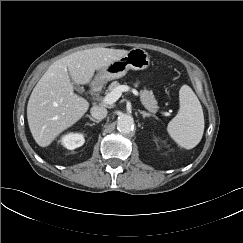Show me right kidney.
Listing matches in <instances>:
<instances>
[{"label": "right kidney", "mask_w": 243, "mask_h": 243, "mask_svg": "<svg viewBox=\"0 0 243 243\" xmlns=\"http://www.w3.org/2000/svg\"><path fill=\"white\" fill-rule=\"evenodd\" d=\"M61 144L69 149L74 150L84 144V136L81 133H68L61 137Z\"/></svg>", "instance_id": "right-kidney-1"}]
</instances>
